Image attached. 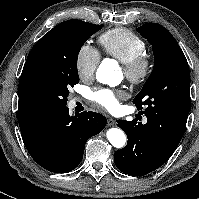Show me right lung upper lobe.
I'll return each mask as SVG.
<instances>
[{"instance_id":"obj_1","label":"right lung upper lobe","mask_w":199,"mask_h":199,"mask_svg":"<svg viewBox=\"0 0 199 199\" xmlns=\"http://www.w3.org/2000/svg\"><path fill=\"white\" fill-rule=\"evenodd\" d=\"M46 114L26 105L19 99L18 122L22 137L29 135L46 118Z\"/></svg>"}]
</instances>
